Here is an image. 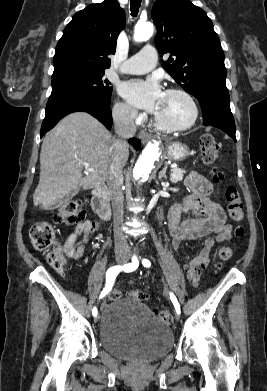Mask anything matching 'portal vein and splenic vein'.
<instances>
[{
  "instance_id": "1",
  "label": "portal vein and splenic vein",
  "mask_w": 267,
  "mask_h": 391,
  "mask_svg": "<svg viewBox=\"0 0 267 391\" xmlns=\"http://www.w3.org/2000/svg\"><path fill=\"white\" fill-rule=\"evenodd\" d=\"M83 165L85 166L86 171H94V168L91 167L88 163L83 162ZM171 167L174 168L175 166H171Z\"/></svg>"
}]
</instances>
